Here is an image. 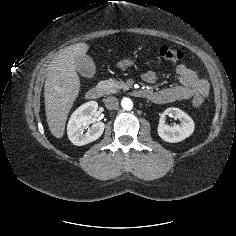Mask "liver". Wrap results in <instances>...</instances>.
<instances>
[{"label":"liver","mask_w":236,"mask_h":236,"mask_svg":"<svg viewBox=\"0 0 236 236\" xmlns=\"http://www.w3.org/2000/svg\"><path fill=\"white\" fill-rule=\"evenodd\" d=\"M88 50L86 43L68 46L60 50L47 67L44 87L46 119L51 134L58 139L64 135L68 113L80 91L76 60Z\"/></svg>","instance_id":"1"}]
</instances>
